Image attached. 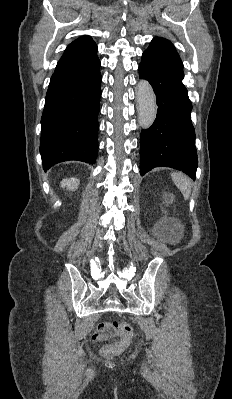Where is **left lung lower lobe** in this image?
Wrapping results in <instances>:
<instances>
[{
    "instance_id": "1",
    "label": "left lung lower lobe",
    "mask_w": 232,
    "mask_h": 399,
    "mask_svg": "<svg viewBox=\"0 0 232 399\" xmlns=\"http://www.w3.org/2000/svg\"><path fill=\"white\" fill-rule=\"evenodd\" d=\"M139 75L151 84L158 106L153 125L141 131L140 174L165 166L195 180L198 160L192 103L183 84V63L172 43L153 39L142 54Z\"/></svg>"
}]
</instances>
